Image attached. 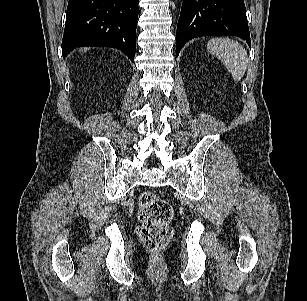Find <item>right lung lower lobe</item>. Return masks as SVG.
Returning a JSON list of instances; mask_svg holds the SVG:
<instances>
[{
    "instance_id": "1",
    "label": "right lung lower lobe",
    "mask_w": 307,
    "mask_h": 301,
    "mask_svg": "<svg viewBox=\"0 0 307 301\" xmlns=\"http://www.w3.org/2000/svg\"><path fill=\"white\" fill-rule=\"evenodd\" d=\"M139 0H69L62 54L80 46L122 50L134 62Z\"/></svg>"
}]
</instances>
